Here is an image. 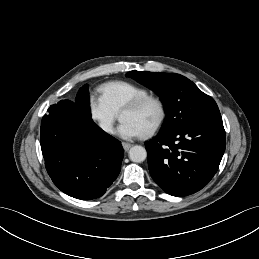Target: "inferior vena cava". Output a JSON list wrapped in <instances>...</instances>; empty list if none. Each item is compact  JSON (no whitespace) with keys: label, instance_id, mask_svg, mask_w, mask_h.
Instances as JSON below:
<instances>
[{"label":"inferior vena cava","instance_id":"obj_1","mask_svg":"<svg viewBox=\"0 0 259 259\" xmlns=\"http://www.w3.org/2000/svg\"><path fill=\"white\" fill-rule=\"evenodd\" d=\"M101 127H102L105 131H110V125H108V124H102Z\"/></svg>","mask_w":259,"mask_h":259}]
</instances>
